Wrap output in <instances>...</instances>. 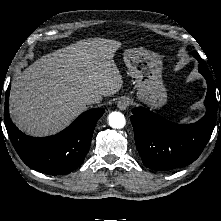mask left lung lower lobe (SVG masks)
Masks as SVG:
<instances>
[{
  "mask_svg": "<svg viewBox=\"0 0 221 221\" xmlns=\"http://www.w3.org/2000/svg\"><path fill=\"white\" fill-rule=\"evenodd\" d=\"M196 59L199 72L208 84L207 111L202 119L190 125H178L143 107L132 110L130 120L136 147L144 165L150 169L164 171L189 165L199 157L210 139L217 116L214 81L204 61L199 56Z\"/></svg>",
  "mask_w": 221,
  "mask_h": 221,
  "instance_id": "0a47b994",
  "label": "left lung lower lobe"
}]
</instances>
